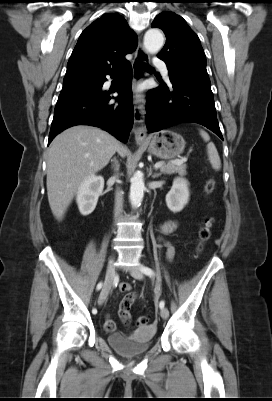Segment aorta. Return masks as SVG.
Returning a JSON list of instances; mask_svg holds the SVG:
<instances>
[{"label": "aorta", "instance_id": "aorta-1", "mask_svg": "<svg viewBox=\"0 0 272 401\" xmlns=\"http://www.w3.org/2000/svg\"><path fill=\"white\" fill-rule=\"evenodd\" d=\"M164 45V36L158 29H149L144 35V47L147 52L155 54L160 51ZM145 184L143 175L137 172L131 178L130 201L133 208L141 205L144 197Z\"/></svg>", "mask_w": 272, "mask_h": 401}]
</instances>
